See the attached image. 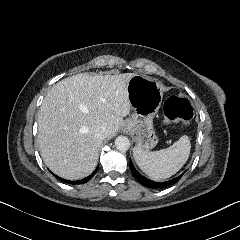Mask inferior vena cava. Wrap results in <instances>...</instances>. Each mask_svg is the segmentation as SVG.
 <instances>
[{
    "label": "inferior vena cava",
    "mask_w": 240,
    "mask_h": 240,
    "mask_svg": "<svg viewBox=\"0 0 240 240\" xmlns=\"http://www.w3.org/2000/svg\"><path fill=\"white\" fill-rule=\"evenodd\" d=\"M96 136L101 140H104L105 138H107L108 136L107 128L101 127L100 129L96 130Z\"/></svg>",
    "instance_id": "1"
}]
</instances>
